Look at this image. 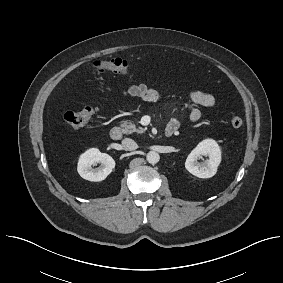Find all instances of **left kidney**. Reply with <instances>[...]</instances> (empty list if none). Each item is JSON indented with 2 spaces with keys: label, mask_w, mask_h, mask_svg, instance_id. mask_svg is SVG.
I'll return each mask as SVG.
<instances>
[{
  "label": "left kidney",
  "mask_w": 283,
  "mask_h": 283,
  "mask_svg": "<svg viewBox=\"0 0 283 283\" xmlns=\"http://www.w3.org/2000/svg\"><path fill=\"white\" fill-rule=\"evenodd\" d=\"M202 156L209 159L199 163L197 160ZM221 162V150L218 144L212 139H205L188 155L185 168L198 178H211L216 172Z\"/></svg>",
  "instance_id": "1"
}]
</instances>
